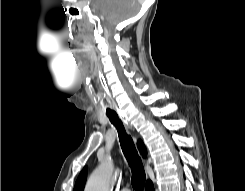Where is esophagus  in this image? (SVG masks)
I'll return each mask as SVG.
<instances>
[{
    "label": "esophagus",
    "instance_id": "obj_1",
    "mask_svg": "<svg viewBox=\"0 0 245 191\" xmlns=\"http://www.w3.org/2000/svg\"><path fill=\"white\" fill-rule=\"evenodd\" d=\"M120 117H121V116H120ZM121 119H122V121L124 122V124H125L126 126H128V127H129V125H128L127 121H126V120H124L122 117H121Z\"/></svg>",
    "mask_w": 245,
    "mask_h": 191
}]
</instances>
